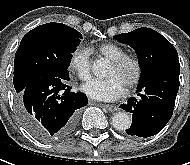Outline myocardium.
Listing matches in <instances>:
<instances>
[{
  "label": "myocardium",
  "instance_id": "1",
  "mask_svg": "<svg viewBox=\"0 0 190 165\" xmlns=\"http://www.w3.org/2000/svg\"><path fill=\"white\" fill-rule=\"evenodd\" d=\"M111 65L118 70H124L128 67L133 69V77L125 86L127 90L135 88L140 83L143 76V66L138 58L133 56H124L118 60L112 61Z\"/></svg>",
  "mask_w": 190,
  "mask_h": 165
}]
</instances>
